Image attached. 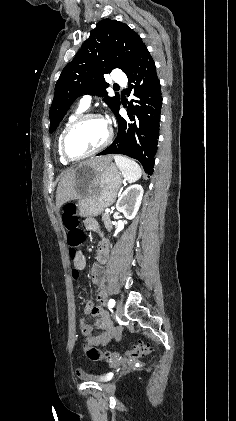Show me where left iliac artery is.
<instances>
[{
    "mask_svg": "<svg viewBox=\"0 0 236 421\" xmlns=\"http://www.w3.org/2000/svg\"><path fill=\"white\" fill-rule=\"evenodd\" d=\"M115 306V300L114 299H110L108 302V307L109 308H113Z\"/></svg>",
    "mask_w": 236,
    "mask_h": 421,
    "instance_id": "obj_1",
    "label": "left iliac artery"
}]
</instances>
